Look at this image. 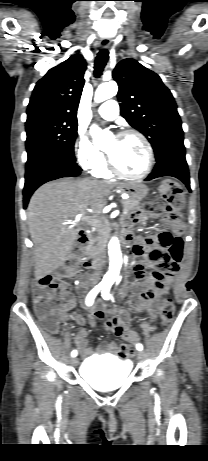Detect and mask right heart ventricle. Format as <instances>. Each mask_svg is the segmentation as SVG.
<instances>
[{"label":"right heart ventricle","instance_id":"right-heart-ventricle-1","mask_svg":"<svg viewBox=\"0 0 208 461\" xmlns=\"http://www.w3.org/2000/svg\"><path fill=\"white\" fill-rule=\"evenodd\" d=\"M93 174L94 176L103 179H110L112 177L111 172L107 168L106 160L104 157L102 158L99 165L93 169Z\"/></svg>","mask_w":208,"mask_h":461}]
</instances>
